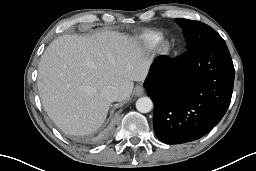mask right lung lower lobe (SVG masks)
<instances>
[{"label":"right lung lower lobe","instance_id":"right-lung-lower-lobe-1","mask_svg":"<svg viewBox=\"0 0 256 171\" xmlns=\"http://www.w3.org/2000/svg\"><path fill=\"white\" fill-rule=\"evenodd\" d=\"M112 129V122H110L105 129L101 132L100 137L105 138L109 135L110 131Z\"/></svg>","mask_w":256,"mask_h":171}]
</instances>
